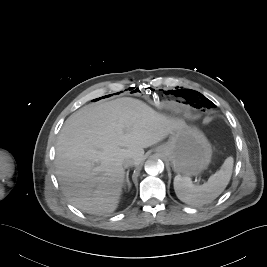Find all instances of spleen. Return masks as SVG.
Here are the masks:
<instances>
[{"label": "spleen", "instance_id": "spleen-1", "mask_svg": "<svg viewBox=\"0 0 267 267\" xmlns=\"http://www.w3.org/2000/svg\"><path fill=\"white\" fill-rule=\"evenodd\" d=\"M233 162V158L228 157L220 170L199 186L194 185L189 177L175 176L173 184L177 197L182 202L193 206H202L212 202L228 185L232 175Z\"/></svg>", "mask_w": 267, "mask_h": 267}]
</instances>
